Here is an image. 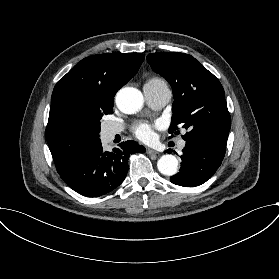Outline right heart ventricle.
<instances>
[{"instance_id":"e07e8e85","label":"right heart ventricle","mask_w":279,"mask_h":279,"mask_svg":"<svg viewBox=\"0 0 279 279\" xmlns=\"http://www.w3.org/2000/svg\"><path fill=\"white\" fill-rule=\"evenodd\" d=\"M159 79H161V78H159V77H152L148 82L156 81V80H159Z\"/></svg>"}]
</instances>
